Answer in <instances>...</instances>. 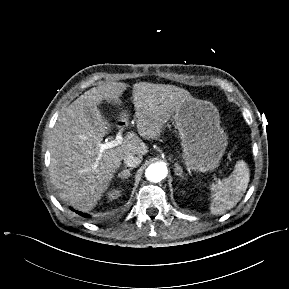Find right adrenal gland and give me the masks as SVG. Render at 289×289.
<instances>
[{"mask_svg":"<svg viewBox=\"0 0 289 289\" xmlns=\"http://www.w3.org/2000/svg\"><path fill=\"white\" fill-rule=\"evenodd\" d=\"M132 170V168H129V169H124L122 170L119 174H118V178H121V179H128L130 177V171Z\"/></svg>","mask_w":289,"mask_h":289,"instance_id":"2a0ac1e0","label":"right adrenal gland"}]
</instances>
